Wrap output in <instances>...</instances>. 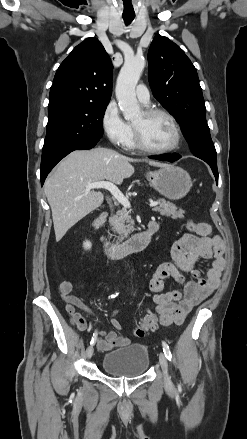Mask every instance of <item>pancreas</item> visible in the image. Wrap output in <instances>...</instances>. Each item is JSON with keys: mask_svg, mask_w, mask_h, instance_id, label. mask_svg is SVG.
I'll return each mask as SVG.
<instances>
[{"mask_svg": "<svg viewBox=\"0 0 247 439\" xmlns=\"http://www.w3.org/2000/svg\"><path fill=\"white\" fill-rule=\"evenodd\" d=\"M159 206L153 211L159 212L162 216L171 217L172 219L183 218L185 211L178 209L173 203L166 202L164 199H158ZM113 229L119 234L118 239L126 238L134 229L133 220L125 210H119L117 216L112 221Z\"/></svg>", "mask_w": 247, "mask_h": 439, "instance_id": "cf45deb5", "label": "pancreas"}]
</instances>
